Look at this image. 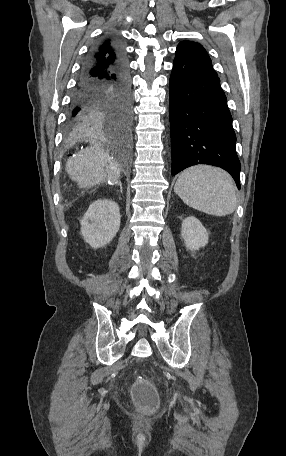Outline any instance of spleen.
I'll return each instance as SVG.
<instances>
[{
  "mask_svg": "<svg viewBox=\"0 0 286 456\" xmlns=\"http://www.w3.org/2000/svg\"><path fill=\"white\" fill-rule=\"evenodd\" d=\"M174 191L186 205L209 215L225 216L237 206L232 177L216 167L198 165L184 170Z\"/></svg>",
  "mask_w": 286,
  "mask_h": 456,
  "instance_id": "1",
  "label": "spleen"
}]
</instances>
